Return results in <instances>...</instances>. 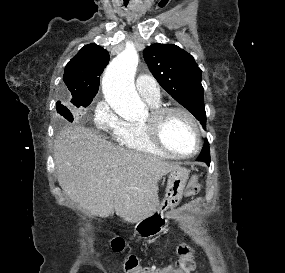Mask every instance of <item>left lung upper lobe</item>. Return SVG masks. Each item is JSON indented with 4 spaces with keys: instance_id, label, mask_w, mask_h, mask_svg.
Returning a JSON list of instances; mask_svg holds the SVG:
<instances>
[{
    "instance_id": "left-lung-upper-lobe-1",
    "label": "left lung upper lobe",
    "mask_w": 285,
    "mask_h": 273,
    "mask_svg": "<svg viewBox=\"0 0 285 273\" xmlns=\"http://www.w3.org/2000/svg\"><path fill=\"white\" fill-rule=\"evenodd\" d=\"M143 55L163 89L189 110L206 129L201 70L193 57L174 44L160 43L147 47Z\"/></svg>"
}]
</instances>
